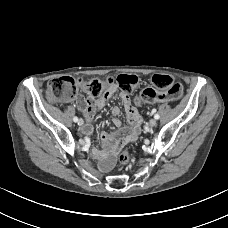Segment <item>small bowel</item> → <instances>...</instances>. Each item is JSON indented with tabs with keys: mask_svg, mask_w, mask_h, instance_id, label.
<instances>
[{
	"mask_svg": "<svg viewBox=\"0 0 228 228\" xmlns=\"http://www.w3.org/2000/svg\"><path fill=\"white\" fill-rule=\"evenodd\" d=\"M116 90L117 87L113 85L98 98H88L86 100L80 99L78 101V108L85 120V124L82 128V132L84 134H90L93 132L94 128L92 120L94 114L104 107L110 95ZM120 97L125 106L129 125L125 129H119L121 126V121L116 116L120 114V108L118 106H114L112 108V114L115 116L113 119V124L116 128H118V130L115 134H107L105 132H101L99 136L101 146L105 153L103 163L104 167L106 168H110L113 165L116 153L125 144L134 142L138 139L141 131L142 118L138 111L135 109L130 96L124 92H121Z\"/></svg>",
	"mask_w": 228,
	"mask_h": 228,
	"instance_id": "1",
	"label": "small bowel"
}]
</instances>
